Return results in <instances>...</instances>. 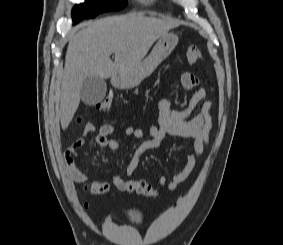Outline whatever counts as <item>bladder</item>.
I'll list each match as a JSON object with an SVG mask.
<instances>
[{"label":"bladder","mask_w":283,"mask_h":245,"mask_svg":"<svg viewBox=\"0 0 283 245\" xmlns=\"http://www.w3.org/2000/svg\"><path fill=\"white\" fill-rule=\"evenodd\" d=\"M126 215L128 219L131 220L132 222H139L142 219L141 212L136 208H131L127 210Z\"/></svg>","instance_id":"31cf9c89"}]
</instances>
